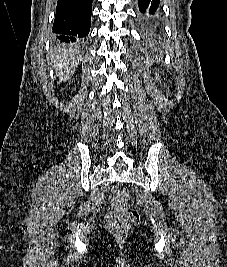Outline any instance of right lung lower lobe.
Returning <instances> with one entry per match:
<instances>
[{
	"instance_id": "obj_1",
	"label": "right lung lower lobe",
	"mask_w": 227,
	"mask_h": 267,
	"mask_svg": "<svg viewBox=\"0 0 227 267\" xmlns=\"http://www.w3.org/2000/svg\"><path fill=\"white\" fill-rule=\"evenodd\" d=\"M92 0H58L53 32L61 42L82 43L91 26Z\"/></svg>"
}]
</instances>
